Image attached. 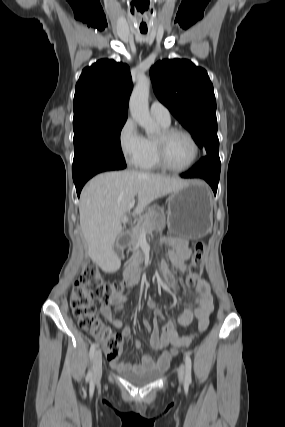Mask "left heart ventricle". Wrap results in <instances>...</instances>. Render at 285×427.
<instances>
[{"label": "left heart ventricle", "mask_w": 285, "mask_h": 427, "mask_svg": "<svg viewBox=\"0 0 285 427\" xmlns=\"http://www.w3.org/2000/svg\"><path fill=\"white\" fill-rule=\"evenodd\" d=\"M193 153L191 141L183 134H175L167 142V160L174 167L186 166L191 161Z\"/></svg>", "instance_id": "1"}]
</instances>
